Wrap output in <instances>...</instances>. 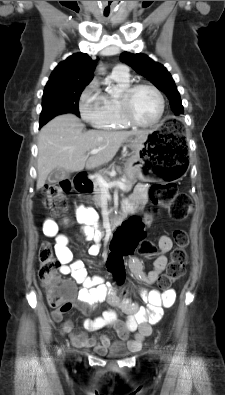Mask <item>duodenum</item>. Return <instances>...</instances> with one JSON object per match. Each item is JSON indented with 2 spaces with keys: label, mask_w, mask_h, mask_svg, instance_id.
Returning a JSON list of instances; mask_svg holds the SVG:
<instances>
[{
  "label": "duodenum",
  "mask_w": 225,
  "mask_h": 395,
  "mask_svg": "<svg viewBox=\"0 0 225 395\" xmlns=\"http://www.w3.org/2000/svg\"><path fill=\"white\" fill-rule=\"evenodd\" d=\"M74 186L77 189V191H79L80 193H86L91 190L92 182L86 173L80 172L77 173L74 178ZM120 222H121L120 217H114L111 220V226H117L120 224Z\"/></svg>",
  "instance_id": "obj_1"
}]
</instances>
